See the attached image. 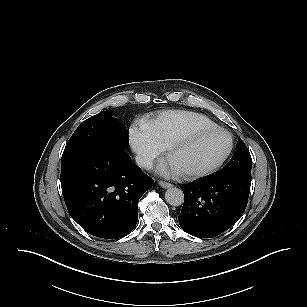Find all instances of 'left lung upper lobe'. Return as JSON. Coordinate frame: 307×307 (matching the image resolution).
<instances>
[{
    "instance_id": "obj_1",
    "label": "left lung upper lobe",
    "mask_w": 307,
    "mask_h": 307,
    "mask_svg": "<svg viewBox=\"0 0 307 307\" xmlns=\"http://www.w3.org/2000/svg\"><path fill=\"white\" fill-rule=\"evenodd\" d=\"M252 159L249 150L241 138L238 139L236 151L227 165L214 176L229 174H251Z\"/></svg>"
}]
</instances>
